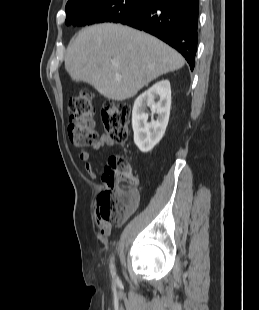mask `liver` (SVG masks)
Returning <instances> with one entry per match:
<instances>
[{"mask_svg": "<svg viewBox=\"0 0 259 310\" xmlns=\"http://www.w3.org/2000/svg\"><path fill=\"white\" fill-rule=\"evenodd\" d=\"M184 63L177 51L156 37L112 23L79 31L65 56V69L73 81L88 83L115 101L134 97L145 85Z\"/></svg>", "mask_w": 259, "mask_h": 310, "instance_id": "1", "label": "liver"}]
</instances>
